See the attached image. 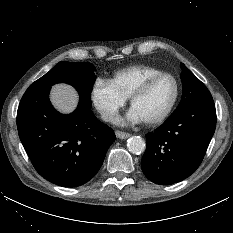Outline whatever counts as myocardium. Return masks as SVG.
<instances>
[{
  "label": "myocardium",
  "instance_id": "myocardium-1",
  "mask_svg": "<svg viewBox=\"0 0 233 233\" xmlns=\"http://www.w3.org/2000/svg\"><path fill=\"white\" fill-rule=\"evenodd\" d=\"M164 77H169L173 80L174 85H175V92H174V96L170 102V104L168 105V107L165 109V111L159 115L156 118L153 119H149V120H143V122L146 125H150V126H155V125H159L161 123H163L172 113V111L174 110L179 95H180V84L178 79L171 73L168 72H161L155 75H152L148 78H146L130 95L129 97V103L132 107L133 103L135 102L136 99H138L139 97H141L142 95H144L149 89L150 87L159 79L164 78Z\"/></svg>",
  "mask_w": 233,
  "mask_h": 233
}]
</instances>
